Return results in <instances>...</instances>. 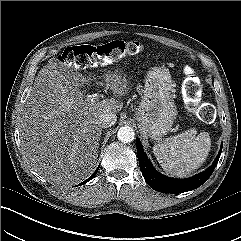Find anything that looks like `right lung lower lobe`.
<instances>
[{"instance_id": "right-lung-lower-lobe-1", "label": "right lung lower lobe", "mask_w": 241, "mask_h": 241, "mask_svg": "<svg viewBox=\"0 0 241 241\" xmlns=\"http://www.w3.org/2000/svg\"><path fill=\"white\" fill-rule=\"evenodd\" d=\"M98 168H99V167H98ZM98 168H97V170H98ZM97 170H96L87 180H85L84 182L80 183L79 185L85 184L86 182L90 181V180L96 175ZM79 185H78V186H79Z\"/></svg>"}]
</instances>
